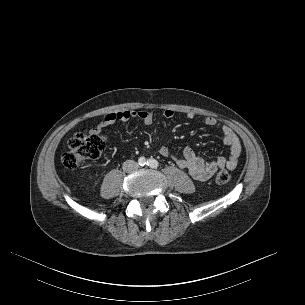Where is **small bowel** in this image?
Wrapping results in <instances>:
<instances>
[{"instance_id":"1","label":"small bowel","mask_w":305,"mask_h":305,"mask_svg":"<svg viewBox=\"0 0 305 305\" xmlns=\"http://www.w3.org/2000/svg\"><path fill=\"white\" fill-rule=\"evenodd\" d=\"M174 114V111L171 109H166L162 112L164 118H172ZM186 117L192 120L195 114L188 112ZM133 118L139 119L145 126H150L154 121V116L149 111L121 110L107 114L91 131L101 133L105 128L114 123L125 122ZM203 123L208 127H213L217 124V120L207 115L203 117ZM221 136L223 142L230 149L228 158L218 157L212 161H204L190 147H185L180 155L173 156L177 166L185 169L193 179L198 181L210 179L220 169H235L242 153L241 142L235 132L227 125L221 127ZM158 152L164 157L171 156V152L167 147H160Z\"/></svg>"}]
</instances>
